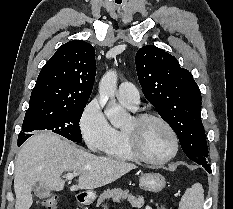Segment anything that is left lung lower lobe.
<instances>
[{
	"mask_svg": "<svg viewBox=\"0 0 233 209\" xmlns=\"http://www.w3.org/2000/svg\"><path fill=\"white\" fill-rule=\"evenodd\" d=\"M203 167L207 170L208 173L212 172L209 164H204Z\"/></svg>",
	"mask_w": 233,
	"mask_h": 209,
	"instance_id": "left-lung-lower-lobe-1",
	"label": "left lung lower lobe"
}]
</instances>
